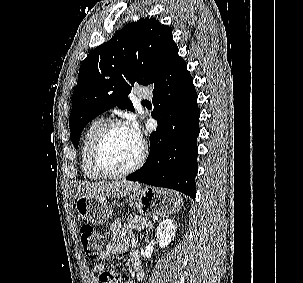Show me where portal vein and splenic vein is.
I'll use <instances>...</instances> for the list:
<instances>
[{
  "mask_svg": "<svg viewBox=\"0 0 303 283\" xmlns=\"http://www.w3.org/2000/svg\"><path fill=\"white\" fill-rule=\"evenodd\" d=\"M150 225H151V223H150V222H148V223H147V226H150Z\"/></svg>",
  "mask_w": 303,
  "mask_h": 283,
  "instance_id": "portal-vein-and-splenic-vein-1",
  "label": "portal vein and splenic vein"
}]
</instances>
